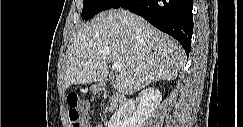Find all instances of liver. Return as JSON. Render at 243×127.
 Returning a JSON list of instances; mask_svg holds the SVG:
<instances>
[{
	"mask_svg": "<svg viewBox=\"0 0 243 127\" xmlns=\"http://www.w3.org/2000/svg\"><path fill=\"white\" fill-rule=\"evenodd\" d=\"M185 61L182 46L129 11L107 10L80 26L66 51L64 87L102 82L109 63L123 69L113 87L132 94L152 82L174 80Z\"/></svg>",
	"mask_w": 243,
	"mask_h": 127,
	"instance_id": "6515ba94",
	"label": "liver"
}]
</instances>
